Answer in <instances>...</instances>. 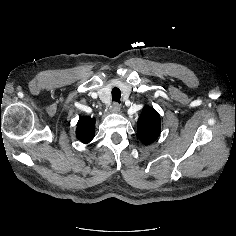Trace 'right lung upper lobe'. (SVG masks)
Returning a JSON list of instances; mask_svg holds the SVG:
<instances>
[{
	"mask_svg": "<svg viewBox=\"0 0 236 236\" xmlns=\"http://www.w3.org/2000/svg\"><path fill=\"white\" fill-rule=\"evenodd\" d=\"M94 126H95V119L82 116L78 123L76 129V135L78 139L82 143H89L94 138Z\"/></svg>",
	"mask_w": 236,
	"mask_h": 236,
	"instance_id": "obj_1",
	"label": "right lung upper lobe"
}]
</instances>
